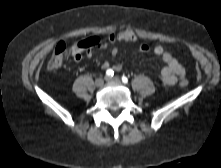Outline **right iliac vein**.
<instances>
[{"label": "right iliac vein", "mask_w": 221, "mask_h": 168, "mask_svg": "<svg viewBox=\"0 0 221 168\" xmlns=\"http://www.w3.org/2000/svg\"><path fill=\"white\" fill-rule=\"evenodd\" d=\"M103 84H104V80L102 78L96 79V81H95V86L96 87H102Z\"/></svg>", "instance_id": "63e3f726"}]
</instances>
